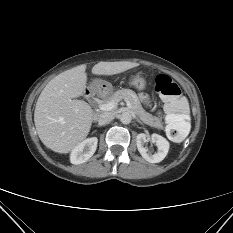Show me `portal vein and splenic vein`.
Listing matches in <instances>:
<instances>
[{"instance_id": "obj_1", "label": "portal vein and splenic vein", "mask_w": 233, "mask_h": 233, "mask_svg": "<svg viewBox=\"0 0 233 233\" xmlns=\"http://www.w3.org/2000/svg\"><path fill=\"white\" fill-rule=\"evenodd\" d=\"M128 108H131V103L129 102L128 99H124ZM117 101L116 100H112V101H109L107 103H102L99 105V108L100 110L102 111H111L112 109H114L117 105Z\"/></svg>"}]
</instances>
